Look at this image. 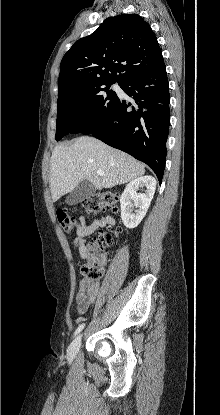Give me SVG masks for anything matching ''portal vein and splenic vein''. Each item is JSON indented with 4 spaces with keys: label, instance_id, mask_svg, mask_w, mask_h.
I'll use <instances>...</instances> for the list:
<instances>
[{
    "label": "portal vein and splenic vein",
    "instance_id": "portal-vein-and-splenic-vein-1",
    "mask_svg": "<svg viewBox=\"0 0 220 415\" xmlns=\"http://www.w3.org/2000/svg\"><path fill=\"white\" fill-rule=\"evenodd\" d=\"M97 175L104 176V173L102 171H97Z\"/></svg>",
    "mask_w": 220,
    "mask_h": 415
}]
</instances>
